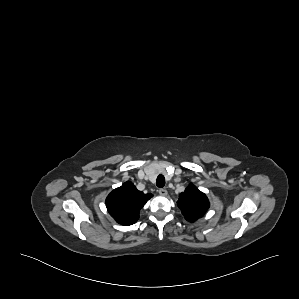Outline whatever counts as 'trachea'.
I'll use <instances>...</instances> for the list:
<instances>
[{
    "label": "trachea",
    "instance_id": "obj_1",
    "mask_svg": "<svg viewBox=\"0 0 299 299\" xmlns=\"http://www.w3.org/2000/svg\"><path fill=\"white\" fill-rule=\"evenodd\" d=\"M156 185H157L159 188L164 187V185H165V178H164V176H163L162 174H160V175L157 177Z\"/></svg>",
    "mask_w": 299,
    "mask_h": 299
}]
</instances>
